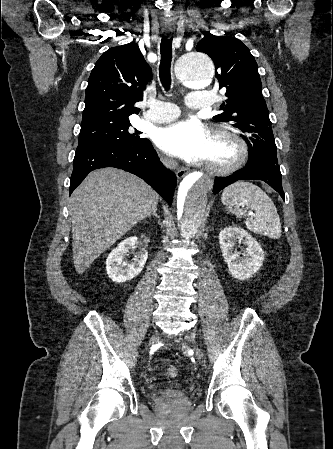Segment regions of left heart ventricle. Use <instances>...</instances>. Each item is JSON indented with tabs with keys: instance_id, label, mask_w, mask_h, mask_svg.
Returning <instances> with one entry per match:
<instances>
[{
	"instance_id": "1",
	"label": "left heart ventricle",
	"mask_w": 333,
	"mask_h": 449,
	"mask_svg": "<svg viewBox=\"0 0 333 449\" xmlns=\"http://www.w3.org/2000/svg\"><path fill=\"white\" fill-rule=\"evenodd\" d=\"M232 156L230 146L224 142L215 141L211 138L205 161L213 163H223L228 161Z\"/></svg>"
}]
</instances>
